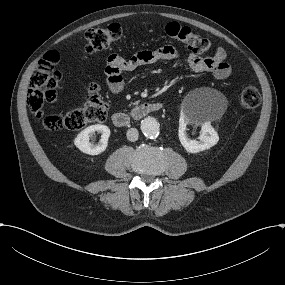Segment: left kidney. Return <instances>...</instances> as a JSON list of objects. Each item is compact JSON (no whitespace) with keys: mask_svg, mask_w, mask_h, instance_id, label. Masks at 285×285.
Returning <instances> with one entry per match:
<instances>
[{"mask_svg":"<svg viewBox=\"0 0 285 285\" xmlns=\"http://www.w3.org/2000/svg\"><path fill=\"white\" fill-rule=\"evenodd\" d=\"M179 140L182 146L189 153H198L206 149H210L217 144L219 136L209 122H205L201 127L200 141L192 140L188 138L186 132V123H182L179 126Z\"/></svg>","mask_w":285,"mask_h":285,"instance_id":"5707ae66","label":"left kidney"}]
</instances>
